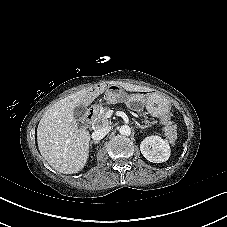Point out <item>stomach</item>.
<instances>
[{"instance_id":"1","label":"stomach","mask_w":227,"mask_h":227,"mask_svg":"<svg viewBox=\"0 0 227 227\" xmlns=\"http://www.w3.org/2000/svg\"><path fill=\"white\" fill-rule=\"evenodd\" d=\"M106 100L110 104L125 102L128 105L136 103L145 106L154 116H165L169 113L171 104L169 100L159 93L126 94L120 86L111 84L106 88Z\"/></svg>"}]
</instances>
